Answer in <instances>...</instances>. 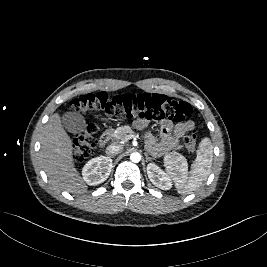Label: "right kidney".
<instances>
[{
    "mask_svg": "<svg viewBox=\"0 0 267 267\" xmlns=\"http://www.w3.org/2000/svg\"><path fill=\"white\" fill-rule=\"evenodd\" d=\"M112 167V159L108 156L92 158L82 169L83 179L90 186L99 185L109 177Z\"/></svg>",
    "mask_w": 267,
    "mask_h": 267,
    "instance_id": "ca27d5eb",
    "label": "right kidney"
}]
</instances>
